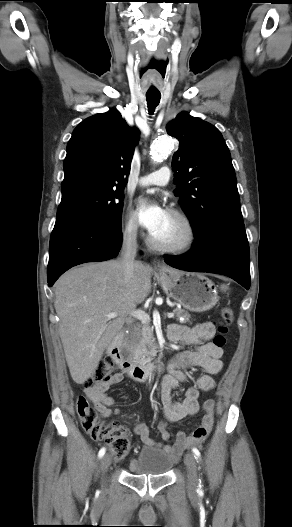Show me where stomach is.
<instances>
[{"label": "stomach", "mask_w": 292, "mask_h": 527, "mask_svg": "<svg viewBox=\"0 0 292 527\" xmlns=\"http://www.w3.org/2000/svg\"><path fill=\"white\" fill-rule=\"evenodd\" d=\"M160 283L169 297L189 311L210 310L219 300L215 284L201 273L163 269Z\"/></svg>", "instance_id": "1"}]
</instances>
